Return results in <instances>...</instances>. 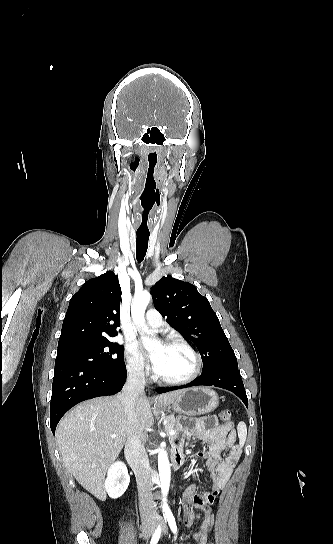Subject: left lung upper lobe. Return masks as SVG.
Segmentation results:
<instances>
[{
  "instance_id": "left-lung-upper-lobe-1",
  "label": "left lung upper lobe",
  "mask_w": 333,
  "mask_h": 544,
  "mask_svg": "<svg viewBox=\"0 0 333 544\" xmlns=\"http://www.w3.org/2000/svg\"><path fill=\"white\" fill-rule=\"evenodd\" d=\"M155 308L201 354L203 372L225 364L237 365V358L208 299L189 282L162 277L151 289Z\"/></svg>"
}]
</instances>
